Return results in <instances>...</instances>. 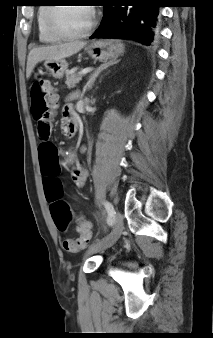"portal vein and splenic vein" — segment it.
<instances>
[{
  "label": "portal vein and splenic vein",
  "mask_w": 213,
  "mask_h": 338,
  "mask_svg": "<svg viewBox=\"0 0 213 338\" xmlns=\"http://www.w3.org/2000/svg\"><path fill=\"white\" fill-rule=\"evenodd\" d=\"M92 69H93V68H91V67L84 68V69H82V70L79 72V74H81V75L87 74V73H89L90 71H92Z\"/></svg>",
  "instance_id": "obj_1"
}]
</instances>
